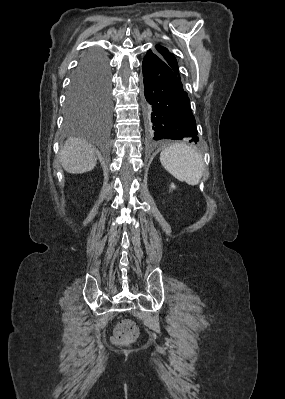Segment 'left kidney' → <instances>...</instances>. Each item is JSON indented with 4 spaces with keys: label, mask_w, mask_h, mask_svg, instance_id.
Returning <instances> with one entry per match:
<instances>
[{
    "label": "left kidney",
    "mask_w": 285,
    "mask_h": 399,
    "mask_svg": "<svg viewBox=\"0 0 285 399\" xmlns=\"http://www.w3.org/2000/svg\"><path fill=\"white\" fill-rule=\"evenodd\" d=\"M171 188L174 189V188H175V185H174V184H171Z\"/></svg>",
    "instance_id": "obj_1"
}]
</instances>
